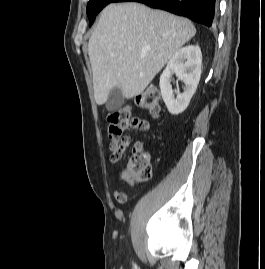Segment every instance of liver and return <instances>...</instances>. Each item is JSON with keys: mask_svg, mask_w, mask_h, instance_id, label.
<instances>
[{"mask_svg": "<svg viewBox=\"0 0 265 269\" xmlns=\"http://www.w3.org/2000/svg\"><path fill=\"white\" fill-rule=\"evenodd\" d=\"M195 34L186 18L139 3L108 5L88 43L96 103L115 87L127 99L141 94Z\"/></svg>", "mask_w": 265, "mask_h": 269, "instance_id": "liver-1", "label": "liver"}]
</instances>
